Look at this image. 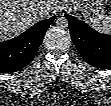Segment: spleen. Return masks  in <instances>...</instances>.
<instances>
[{"label":"spleen","instance_id":"1","mask_svg":"<svg viewBox=\"0 0 111 106\" xmlns=\"http://www.w3.org/2000/svg\"><path fill=\"white\" fill-rule=\"evenodd\" d=\"M101 20H102V16L99 18L93 19L92 21L94 23L92 24V27L102 33L111 34V15L108 17L106 16L103 21Z\"/></svg>","mask_w":111,"mask_h":106}]
</instances>
